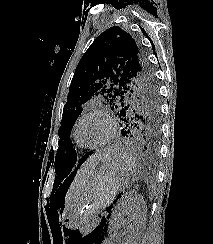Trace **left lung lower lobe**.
Returning <instances> with one entry per match:
<instances>
[{"mask_svg":"<svg viewBox=\"0 0 213 244\" xmlns=\"http://www.w3.org/2000/svg\"><path fill=\"white\" fill-rule=\"evenodd\" d=\"M122 121V119H121ZM122 130L121 135L133 144L134 147L143 151L145 154L149 156H156L158 153V137H159V128L158 130L153 129L151 127L144 128L138 126L131 119H124L122 121ZM92 152L85 154L77 163V168L74 170L71 175L73 176L76 173V170L82 165V163L91 155ZM77 159L73 162L70 170L76 164ZM69 170V171H70ZM70 175V176H71Z\"/></svg>","mask_w":213,"mask_h":244,"instance_id":"0a47b994","label":"left lung lower lobe"}]
</instances>
